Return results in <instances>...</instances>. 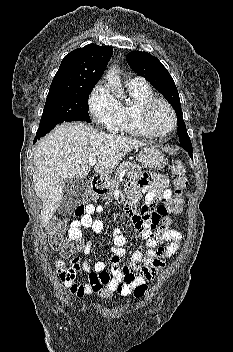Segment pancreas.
<instances>
[{
    "label": "pancreas",
    "instance_id": "obj_1",
    "mask_svg": "<svg viewBox=\"0 0 233 352\" xmlns=\"http://www.w3.org/2000/svg\"><path fill=\"white\" fill-rule=\"evenodd\" d=\"M123 171H127V177L130 180L139 179L142 175L141 167L136 163L128 162L120 165L116 169L114 177L106 183V188L108 190L107 197H110L113 194L114 189L119 187L121 181L119 177Z\"/></svg>",
    "mask_w": 233,
    "mask_h": 352
}]
</instances>
